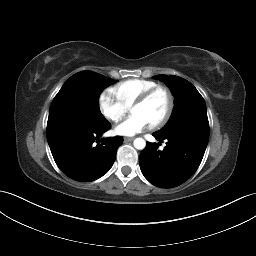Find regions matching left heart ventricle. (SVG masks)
Segmentation results:
<instances>
[{"label": "left heart ventricle", "mask_w": 256, "mask_h": 256, "mask_svg": "<svg viewBox=\"0 0 256 256\" xmlns=\"http://www.w3.org/2000/svg\"><path fill=\"white\" fill-rule=\"evenodd\" d=\"M167 105V96L163 92H158L146 104L134 106L131 109V114L142 115L151 124L163 116L167 109Z\"/></svg>", "instance_id": "left-heart-ventricle-1"}]
</instances>
